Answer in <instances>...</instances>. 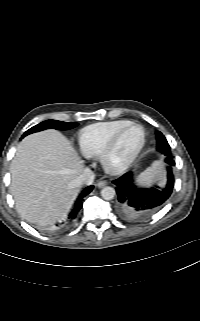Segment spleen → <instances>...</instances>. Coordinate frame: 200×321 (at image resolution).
Masks as SVG:
<instances>
[{"label": "spleen", "mask_w": 200, "mask_h": 321, "mask_svg": "<svg viewBox=\"0 0 200 321\" xmlns=\"http://www.w3.org/2000/svg\"><path fill=\"white\" fill-rule=\"evenodd\" d=\"M162 160H156L150 167L140 173L136 179L137 184L141 186H150L157 181L164 179L165 170Z\"/></svg>", "instance_id": "obj_1"}]
</instances>
